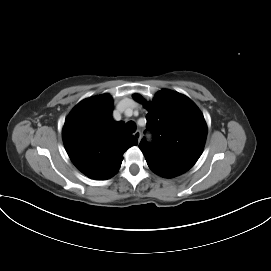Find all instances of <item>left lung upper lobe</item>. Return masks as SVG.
I'll return each mask as SVG.
<instances>
[{"label": "left lung upper lobe", "mask_w": 271, "mask_h": 271, "mask_svg": "<svg viewBox=\"0 0 271 271\" xmlns=\"http://www.w3.org/2000/svg\"><path fill=\"white\" fill-rule=\"evenodd\" d=\"M135 100L148 110L147 128L153 142L143 139L139 148L147 163L185 172L200 157L207 135V126L199 108L186 96L171 91L158 92L152 102L140 95Z\"/></svg>", "instance_id": "left-lung-upper-lobe-1"}]
</instances>
